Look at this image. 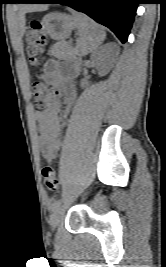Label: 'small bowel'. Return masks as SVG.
Segmentation results:
<instances>
[{
    "label": "small bowel",
    "mask_w": 166,
    "mask_h": 267,
    "mask_svg": "<svg viewBox=\"0 0 166 267\" xmlns=\"http://www.w3.org/2000/svg\"><path fill=\"white\" fill-rule=\"evenodd\" d=\"M77 75V70L72 67L63 68L54 59L46 62L41 74L42 80L56 87L65 97V114L69 111L75 97L76 91L72 84ZM60 104L56 103L45 110L36 111L35 118L38 123L40 149L46 160L55 159L61 146V132L64 120L59 116Z\"/></svg>",
    "instance_id": "obj_1"
}]
</instances>
